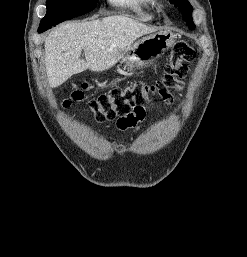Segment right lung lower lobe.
I'll list each match as a JSON object with an SVG mask.
<instances>
[{
	"instance_id": "98d812e1",
	"label": "right lung lower lobe",
	"mask_w": 247,
	"mask_h": 257,
	"mask_svg": "<svg viewBox=\"0 0 247 257\" xmlns=\"http://www.w3.org/2000/svg\"><path fill=\"white\" fill-rule=\"evenodd\" d=\"M48 28H51V26H49V25H40L39 28H38V32L42 33L44 31H46Z\"/></svg>"
}]
</instances>
